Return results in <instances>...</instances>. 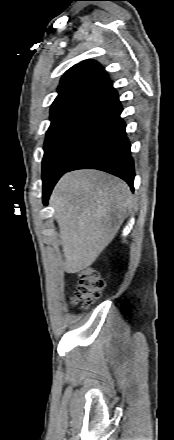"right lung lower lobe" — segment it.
Segmentation results:
<instances>
[{
	"label": "right lung lower lobe",
	"instance_id": "1",
	"mask_svg": "<svg viewBox=\"0 0 174 440\" xmlns=\"http://www.w3.org/2000/svg\"><path fill=\"white\" fill-rule=\"evenodd\" d=\"M99 107L87 140L74 162L66 170L98 169L125 180L133 190L134 161L126 136L123 110L117 91L111 87L98 97ZM54 184L44 186L43 201L47 204Z\"/></svg>",
	"mask_w": 174,
	"mask_h": 440
}]
</instances>
